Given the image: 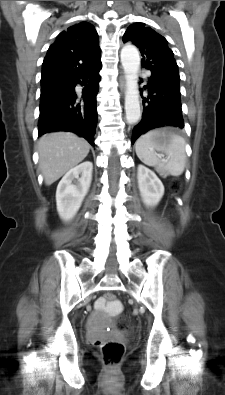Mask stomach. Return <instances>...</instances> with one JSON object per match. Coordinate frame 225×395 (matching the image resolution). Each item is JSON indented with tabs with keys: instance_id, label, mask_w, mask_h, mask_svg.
Here are the masks:
<instances>
[{
	"instance_id": "stomach-1",
	"label": "stomach",
	"mask_w": 225,
	"mask_h": 395,
	"mask_svg": "<svg viewBox=\"0 0 225 395\" xmlns=\"http://www.w3.org/2000/svg\"><path fill=\"white\" fill-rule=\"evenodd\" d=\"M158 135L156 136V140L159 142H167L169 137L166 135V130H157Z\"/></svg>"
}]
</instances>
